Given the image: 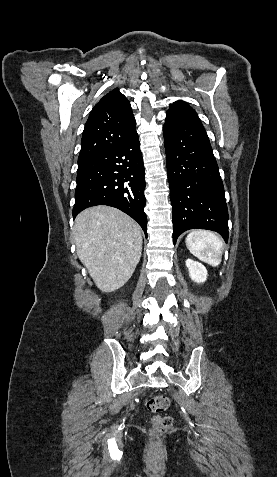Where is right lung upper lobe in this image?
Returning a JSON list of instances; mask_svg holds the SVG:
<instances>
[{
  "mask_svg": "<svg viewBox=\"0 0 277 477\" xmlns=\"http://www.w3.org/2000/svg\"><path fill=\"white\" fill-rule=\"evenodd\" d=\"M135 131L129 101L118 88L110 91L95 105L86 122L78 163L117 146Z\"/></svg>",
  "mask_w": 277,
  "mask_h": 477,
  "instance_id": "obj_1",
  "label": "right lung upper lobe"
}]
</instances>
